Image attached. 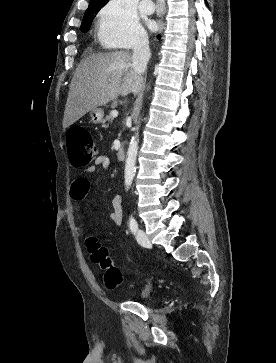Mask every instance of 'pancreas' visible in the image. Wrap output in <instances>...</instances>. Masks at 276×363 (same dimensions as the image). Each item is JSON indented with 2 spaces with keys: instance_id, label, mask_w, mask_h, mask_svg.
Here are the masks:
<instances>
[{
  "instance_id": "1",
  "label": "pancreas",
  "mask_w": 276,
  "mask_h": 363,
  "mask_svg": "<svg viewBox=\"0 0 276 363\" xmlns=\"http://www.w3.org/2000/svg\"><path fill=\"white\" fill-rule=\"evenodd\" d=\"M112 120H113V117H112L111 113H109V115H107L106 118L104 119V123L106 121L111 122Z\"/></svg>"
}]
</instances>
